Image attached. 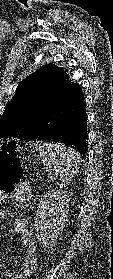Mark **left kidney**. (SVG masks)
I'll list each match as a JSON object with an SVG mask.
<instances>
[{"instance_id": "obj_1", "label": "left kidney", "mask_w": 113, "mask_h": 279, "mask_svg": "<svg viewBox=\"0 0 113 279\" xmlns=\"http://www.w3.org/2000/svg\"><path fill=\"white\" fill-rule=\"evenodd\" d=\"M69 202V193L62 190H50L40 200L34 216L39 245L49 248L57 241L68 218Z\"/></svg>"}]
</instances>
